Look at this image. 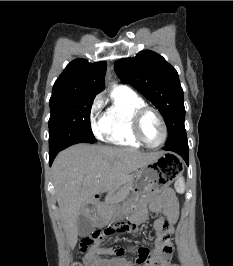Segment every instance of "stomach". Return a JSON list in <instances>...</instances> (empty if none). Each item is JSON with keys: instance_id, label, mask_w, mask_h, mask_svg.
<instances>
[{"instance_id": "1", "label": "stomach", "mask_w": 233, "mask_h": 266, "mask_svg": "<svg viewBox=\"0 0 233 266\" xmlns=\"http://www.w3.org/2000/svg\"><path fill=\"white\" fill-rule=\"evenodd\" d=\"M169 166H183L178 152H159V156H155L154 161L136 171V185L133 188L131 199H138L142 195L150 194L159 187L177 185L180 172H184V167ZM107 209H113V204H103L102 208L95 213L97 225L103 226L110 222L107 226L115 227L126 224L125 220H111V212Z\"/></svg>"}]
</instances>
